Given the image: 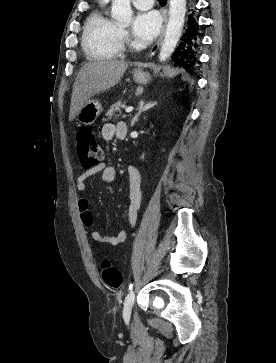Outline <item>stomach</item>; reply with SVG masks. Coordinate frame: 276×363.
Instances as JSON below:
<instances>
[{"label": "stomach", "instance_id": "obj_1", "mask_svg": "<svg viewBox=\"0 0 276 363\" xmlns=\"http://www.w3.org/2000/svg\"><path fill=\"white\" fill-rule=\"evenodd\" d=\"M136 83L146 85L150 80V74L136 71L133 74ZM102 112L101 104L94 99H89L77 113V120L84 125H92Z\"/></svg>", "mask_w": 276, "mask_h": 363}]
</instances>
